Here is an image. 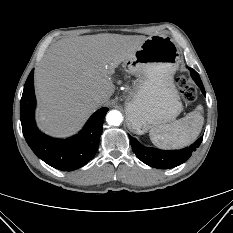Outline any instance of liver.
I'll list each match as a JSON object with an SVG mask.
<instances>
[{
    "instance_id": "1",
    "label": "liver",
    "mask_w": 233,
    "mask_h": 233,
    "mask_svg": "<svg viewBox=\"0 0 233 233\" xmlns=\"http://www.w3.org/2000/svg\"><path fill=\"white\" fill-rule=\"evenodd\" d=\"M146 39L97 34L52 44L34 73L38 127L56 137L77 132L114 93L110 76L115 68L131 59ZM96 95L103 98L96 100Z\"/></svg>"
}]
</instances>
